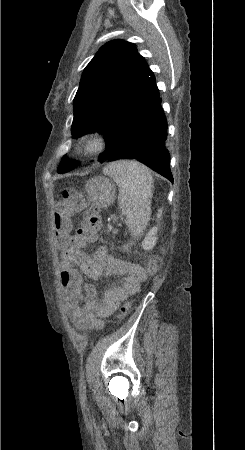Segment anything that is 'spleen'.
<instances>
[{"instance_id":"3e777b00","label":"spleen","mask_w":245,"mask_h":450,"mask_svg":"<svg viewBox=\"0 0 245 450\" xmlns=\"http://www.w3.org/2000/svg\"><path fill=\"white\" fill-rule=\"evenodd\" d=\"M103 173L116 182L119 207L126 215L131 234L138 237L151 215L153 177L149 169L137 161H117L105 167Z\"/></svg>"}]
</instances>
